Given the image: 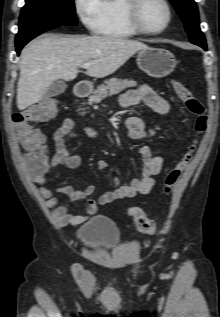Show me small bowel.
<instances>
[{"label":"small bowel","mask_w":220,"mask_h":317,"mask_svg":"<svg viewBox=\"0 0 220 317\" xmlns=\"http://www.w3.org/2000/svg\"><path fill=\"white\" fill-rule=\"evenodd\" d=\"M120 104L123 107L144 104L154 110L158 116H164L169 111L168 102L146 84L124 93L120 98ZM74 126V121L71 118H67L55 130L53 133L54 155L51 161L47 162L41 170L29 167L25 163L32 181L38 185L41 197L45 199L47 207L52 209V217L56 225L60 227L84 222L94 215L100 206L119 199L149 193L155 184L154 177L160 173L163 164V159L160 156H154L148 146L140 147L139 154L142 160L141 177L134 179L130 184L122 183L118 178H114L113 190L101 195L97 201L91 198L96 191L94 186H88L83 190L75 189L69 185L60 186L58 188L59 192L66 195L70 201L81 202L85 207L83 215L73 214L66 205H58V199L54 196V189L46 185V177L58 166H65L70 169L80 166L81 158L70 154L64 141L66 137H75ZM126 127L129 137L135 140L143 139L154 133L152 129L148 128L147 123L138 116L128 117ZM86 132L93 138L99 137L98 131L92 126H88ZM97 168L99 170L107 169L108 162L103 159L98 160Z\"/></svg>","instance_id":"1"}]
</instances>
